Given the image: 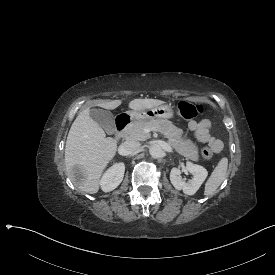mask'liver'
I'll use <instances>...</instances> for the list:
<instances>
[{"mask_svg":"<svg viewBox=\"0 0 275 275\" xmlns=\"http://www.w3.org/2000/svg\"><path fill=\"white\" fill-rule=\"evenodd\" d=\"M163 103L164 101L156 99H134L129 103V107L138 111ZM120 104L121 100H112L98 103L97 106L112 110ZM89 112V108L81 111L69 130L65 146V165L69 176L74 165L82 166L86 181L78 188L94 194L99 190L103 170L115 156L117 140L106 137L104 130L90 117Z\"/></svg>","mask_w":275,"mask_h":275,"instance_id":"1","label":"liver"}]
</instances>
